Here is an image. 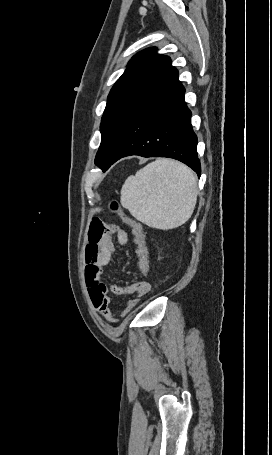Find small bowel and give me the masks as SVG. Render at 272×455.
Segmentation results:
<instances>
[{
  "label": "small bowel",
  "mask_w": 272,
  "mask_h": 455,
  "mask_svg": "<svg viewBox=\"0 0 272 455\" xmlns=\"http://www.w3.org/2000/svg\"><path fill=\"white\" fill-rule=\"evenodd\" d=\"M113 234L120 245L129 242V234L124 228L109 226L99 219H93L88 230L85 254L86 282L90 298L99 313L111 323L117 321V315L122 317L129 313L137 305L138 298L150 291V283L147 280L135 282L127 287H119L105 281L104 271L115 251ZM111 294H135L136 297L128 300L124 308L116 312L111 306Z\"/></svg>",
  "instance_id": "small-bowel-1"
}]
</instances>
